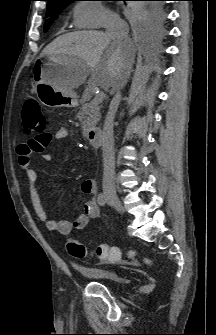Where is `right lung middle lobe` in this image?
<instances>
[{
	"instance_id": "1",
	"label": "right lung middle lobe",
	"mask_w": 216,
	"mask_h": 335,
	"mask_svg": "<svg viewBox=\"0 0 216 335\" xmlns=\"http://www.w3.org/2000/svg\"><path fill=\"white\" fill-rule=\"evenodd\" d=\"M72 1L59 2L47 5L46 17L48 18L44 25V31L46 32L50 25L58 15L66 8ZM138 18L140 19L144 28L149 31H159L162 28L163 21L165 18L163 4L160 2H150L144 4L138 10Z\"/></svg>"
}]
</instances>
